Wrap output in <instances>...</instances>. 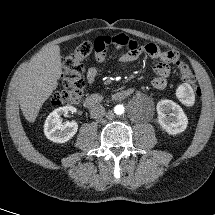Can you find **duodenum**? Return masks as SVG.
Here are the masks:
<instances>
[{
    "instance_id": "duodenum-1",
    "label": "duodenum",
    "mask_w": 215,
    "mask_h": 215,
    "mask_svg": "<svg viewBox=\"0 0 215 215\" xmlns=\"http://www.w3.org/2000/svg\"><path fill=\"white\" fill-rule=\"evenodd\" d=\"M131 93H132L131 88L122 89L113 95V100L115 101L124 100L128 98L131 95ZM102 101H103V96L99 94H91L84 99L83 105L87 108H91V107H94L95 105L100 104Z\"/></svg>"
}]
</instances>
